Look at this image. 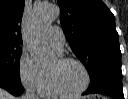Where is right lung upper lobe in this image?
<instances>
[{
  "mask_svg": "<svg viewBox=\"0 0 128 99\" xmlns=\"http://www.w3.org/2000/svg\"><path fill=\"white\" fill-rule=\"evenodd\" d=\"M24 0H0V45L20 47Z\"/></svg>",
  "mask_w": 128,
  "mask_h": 99,
  "instance_id": "1",
  "label": "right lung upper lobe"
}]
</instances>
